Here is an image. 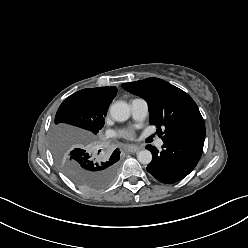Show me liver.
Returning <instances> with one entry per match:
<instances>
[{"mask_svg": "<svg viewBox=\"0 0 248 248\" xmlns=\"http://www.w3.org/2000/svg\"><path fill=\"white\" fill-rule=\"evenodd\" d=\"M61 130H64V131H67V132H70V133H77V134H79L81 136L86 135V132H84L82 130H76V129L70 128V127H64Z\"/></svg>", "mask_w": 248, "mask_h": 248, "instance_id": "6515ba94", "label": "liver"}]
</instances>
